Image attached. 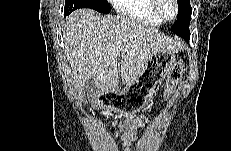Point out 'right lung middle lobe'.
<instances>
[{"label":"right lung middle lobe","instance_id":"obj_1","mask_svg":"<svg viewBox=\"0 0 231 151\" xmlns=\"http://www.w3.org/2000/svg\"><path fill=\"white\" fill-rule=\"evenodd\" d=\"M78 8H90L100 13H109L111 11L107 0H66L65 11L71 13Z\"/></svg>","mask_w":231,"mask_h":151}]
</instances>
